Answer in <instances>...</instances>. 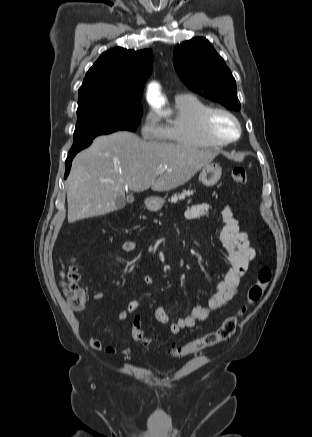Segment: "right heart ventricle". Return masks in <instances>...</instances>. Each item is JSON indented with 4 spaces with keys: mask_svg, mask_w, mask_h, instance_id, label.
Segmentation results:
<instances>
[{
    "mask_svg": "<svg viewBox=\"0 0 312 437\" xmlns=\"http://www.w3.org/2000/svg\"><path fill=\"white\" fill-rule=\"evenodd\" d=\"M210 106L191 94L176 97L174 114L164 125L163 140L191 148H212L219 145L211 142L202 132L201 117Z\"/></svg>",
    "mask_w": 312,
    "mask_h": 437,
    "instance_id": "right-heart-ventricle-1",
    "label": "right heart ventricle"
}]
</instances>
